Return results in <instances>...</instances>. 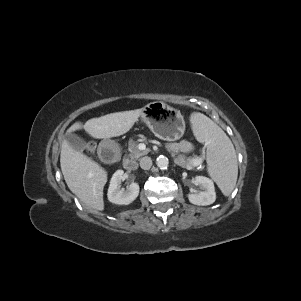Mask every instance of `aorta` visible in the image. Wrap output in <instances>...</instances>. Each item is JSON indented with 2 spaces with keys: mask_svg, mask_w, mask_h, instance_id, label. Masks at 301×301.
<instances>
[{
  "mask_svg": "<svg viewBox=\"0 0 301 301\" xmlns=\"http://www.w3.org/2000/svg\"><path fill=\"white\" fill-rule=\"evenodd\" d=\"M156 164L160 169H167V167L169 165V160L167 157L160 155L156 159Z\"/></svg>",
  "mask_w": 301,
  "mask_h": 301,
  "instance_id": "762f6f07",
  "label": "aorta"
}]
</instances>
